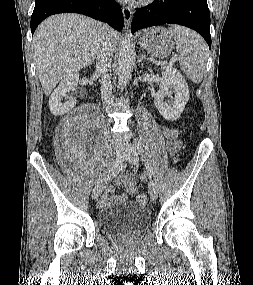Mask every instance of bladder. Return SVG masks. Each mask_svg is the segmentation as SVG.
<instances>
[{
    "mask_svg": "<svg viewBox=\"0 0 253 285\" xmlns=\"http://www.w3.org/2000/svg\"><path fill=\"white\" fill-rule=\"evenodd\" d=\"M98 222L105 234L129 238L143 234L150 226L151 217L146 207L127 202L102 208Z\"/></svg>",
    "mask_w": 253,
    "mask_h": 285,
    "instance_id": "1",
    "label": "bladder"
}]
</instances>
